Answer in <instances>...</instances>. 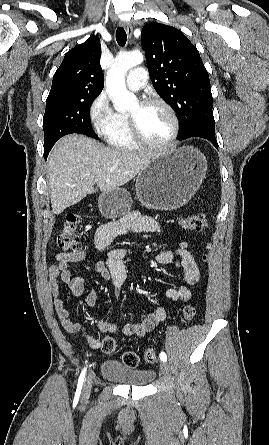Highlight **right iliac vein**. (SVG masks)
I'll return each mask as SVG.
<instances>
[{
	"instance_id": "right-iliac-vein-1",
	"label": "right iliac vein",
	"mask_w": 269,
	"mask_h": 445,
	"mask_svg": "<svg viewBox=\"0 0 269 445\" xmlns=\"http://www.w3.org/2000/svg\"><path fill=\"white\" fill-rule=\"evenodd\" d=\"M91 388H92V379L89 378L88 381L86 382L84 392H83L85 396H88L90 394Z\"/></svg>"
}]
</instances>
